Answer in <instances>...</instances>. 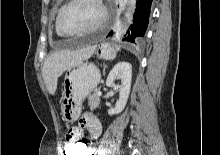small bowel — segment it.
<instances>
[{"label": "small bowel", "mask_w": 220, "mask_h": 155, "mask_svg": "<svg viewBox=\"0 0 220 155\" xmlns=\"http://www.w3.org/2000/svg\"><path fill=\"white\" fill-rule=\"evenodd\" d=\"M87 129L91 133V135L94 138H97L100 136L102 131V125L100 120L93 115L92 113H86L84 114L80 121L79 126H66L65 130L68 131L65 134V137L70 139H82L83 138V130ZM90 151H88V155L94 154L93 147H90Z\"/></svg>", "instance_id": "1"}]
</instances>
